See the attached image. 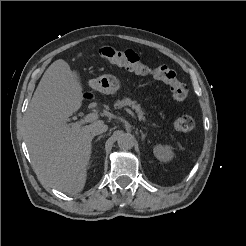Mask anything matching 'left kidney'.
Masks as SVG:
<instances>
[{"label": "left kidney", "instance_id": "left-kidney-1", "mask_svg": "<svg viewBox=\"0 0 246 246\" xmlns=\"http://www.w3.org/2000/svg\"><path fill=\"white\" fill-rule=\"evenodd\" d=\"M153 153L162 162L170 161L174 157L173 147L170 145L157 144L153 148Z\"/></svg>", "mask_w": 246, "mask_h": 246}]
</instances>
